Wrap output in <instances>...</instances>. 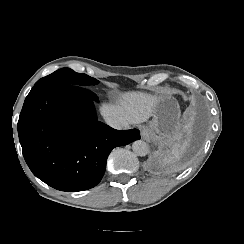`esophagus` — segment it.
<instances>
[{
    "label": "esophagus",
    "mask_w": 244,
    "mask_h": 244,
    "mask_svg": "<svg viewBox=\"0 0 244 244\" xmlns=\"http://www.w3.org/2000/svg\"><path fill=\"white\" fill-rule=\"evenodd\" d=\"M141 136L144 140H148L149 139V130L148 128H143L141 130Z\"/></svg>",
    "instance_id": "34e87169"
}]
</instances>
